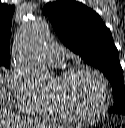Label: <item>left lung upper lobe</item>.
Listing matches in <instances>:
<instances>
[{
    "mask_svg": "<svg viewBox=\"0 0 125 128\" xmlns=\"http://www.w3.org/2000/svg\"><path fill=\"white\" fill-rule=\"evenodd\" d=\"M61 41L84 61L101 70L113 88L110 113L125 115V86L119 53L100 16L80 2L56 1L43 7Z\"/></svg>",
    "mask_w": 125,
    "mask_h": 128,
    "instance_id": "left-lung-upper-lobe-1",
    "label": "left lung upper lobe"
}]
</instances>
